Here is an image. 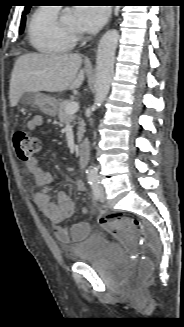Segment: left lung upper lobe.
<instances>
[{"label": "left lung upper lobe", "instance_id": "obj_1", "mask_svg": "<svg viewBox=\"0 0 184 327\" xmlns=\"http://www.w3.org/2000/svg\"><path fill=\"white\" fill-rule=\"evenodd\" d=\"M29 8H30L29 6H26V12H28V11H29Z\"/></svg>", "mask_w": 184, "mask_h": 327}]
</instances>
